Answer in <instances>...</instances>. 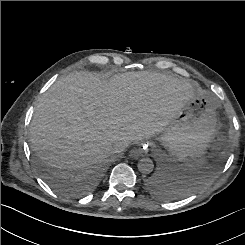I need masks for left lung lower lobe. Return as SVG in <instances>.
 <instances>
[{
    "label": "left lung lower lobe",
    "instance_id": "obj_1",
    "mask_svg": "<svg viewBox=\"0 0 245 245\" xmlns=\"http://www.w3.org/2000/svg\"><path fill=\"white\" fill-rule=\"evenodd\" d=\"M145 186L154 195L165 199L180 195L185 189V185L168 172L148 178Z\"/></svg>",
    "mask_w": 245,
    "mask_h": 245
}]
</instances>
